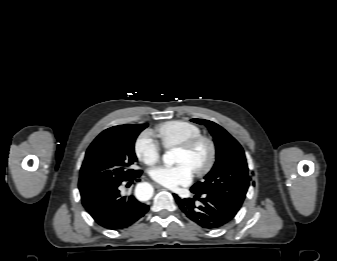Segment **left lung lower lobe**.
I'll return each instance as SVG.
<instances>
[{
    "instance_id": "left-lung-lower-lobe-1",
    "label": "left lung lower lobe",
    "mask_w": 337,
    "mask_h": 261,
    "mask_svg": "<svg viewBox=\"0 0 337 261\" xmlns=\"http://www.w3.org/2000/svg\"><path fill=\"white\" fill-rule=\"evenodd\" d=\"M195 193V199L200 200L202 205L196 207L193 199H180L176 194L174 197L181 211L194 223L205 229L220 228L229 223L237 210L233 209L224 200L209 194ZM203 198H199L200 196Z\"/></svg>"
}]
</instances>
